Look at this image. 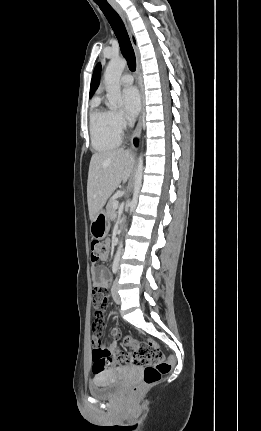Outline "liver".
<instances>
[{
	"label": "liver",
	"mask_w": 261,
	"mask_h": 431,
	"mask_svg": "<svg viewBox=\"0 0 261 431\" xmlns=\"http://www.w3.org/2000/svg\"><path fill=\"white\" fill-rule=\"evenodd\" d=\"M135 163L124 149L94 153L87 181L89 217L92 221L121 182H127Z\"/></svg>",
	"instance_id": "obj_1"
}]
</instances>
